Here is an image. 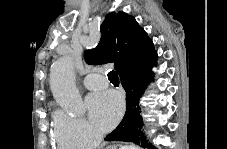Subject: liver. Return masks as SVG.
<instances>
[{
	"mask_svg": "<svg viewBox=\"0 0 227 149\" xmlns=\"http://www.w3.org/2000/svg\"><path fill=\"white\" fill-rule=\"evenodd\" d=\"M128 149H138L137 146H130V147H127ZM107 149H110L109 147Z\"/></svg>",
	"mask_w": 227,
	"mask_h": 149,
	"instance_id": "obj_1",
	"label": "liver"
}]
</instances>
